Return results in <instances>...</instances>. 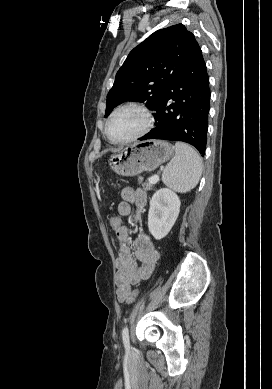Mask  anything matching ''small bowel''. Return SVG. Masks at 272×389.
Listing matches in <instances>:
<instances>
[{"label":"small bowel","mask_w":272,"mask_h":389,"mask_svg":"<svg viewBox=\"0 0 272 389\" xmlns=\"http://www.w3.org/2000/svg\"><path fill=\"white\" fill-rule=\"evenodd\" d=\"M122 202L117 211L120 216L132 217L142 225V210L147 203V194L141 189L125 187L121 191ZM132 205L135 210H132ZM119 243V252L116 259V286L119 301H124L130 293L131 287L149 278L159 259V252L154 246L151 237L142 229L138 231L133 246L130 245V229L122 225L116 231ZM136 260L140 264L136 263Z\"/></svg>","instance_id":"c3829d8e"}]
</instances>
